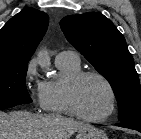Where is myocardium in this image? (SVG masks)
Wrapping results in <instances>:
<instances>
[{
	"label": "myocardium",
	"instance_id": "f54148a6",
	"mask_svg": "<svg viewBox=\"0 0 141 139\" xmlns=\"http://www.w3.org/2000/svg\"><path fill=\"white\" fill-rule=\"evenodd\" d=\"M87 77L99 78L105 83V85L107 86L110 92V96H111L110 108L108 112L101 117H91L84 114L78 104L77 90L80 83ZM66 102H67L69 110L74 116L89 122H104L113 115L116 109L117 95L112 83L105 75L97 71L88 70V71H81L77 73L68 81L66 85Z\"/></svg>",
	"mask_w": 141,
	"mask_h": 139
}]
</instances>
